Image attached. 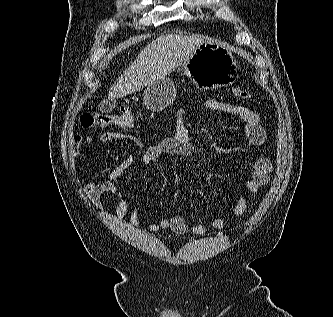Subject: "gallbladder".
<instances>
[{"instance_id": "1", "label": "gallbladder", "mask_w": 333, "mask_h": 317, "mask_svg": "<svg viewBox=\"0 0 333 317\" xmlns=\"http://www.w3.org/2000/svg\"><path fill=\"white\" fill-rule=\"evenodd\" d=\"M115 103L114 99H106L99 104V108L102 113H109L114 109Z\"/></svg>"}]
</instances>
